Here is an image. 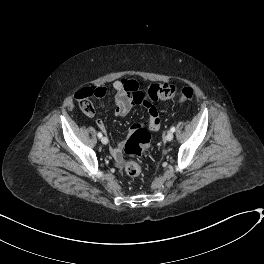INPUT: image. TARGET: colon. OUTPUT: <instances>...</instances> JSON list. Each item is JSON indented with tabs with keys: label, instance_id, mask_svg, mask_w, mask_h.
I'll list each match as a JSON object with an SVG mask.
<instances>
[{
	"label": "colon",
	"instance_id": "obj_1",
	"mask_svg": "<svg viewBox=\"0 0 264 264\" xmlns=\"http://www.w3.org/2000/svg\"><path fill=\"white\" fill-rule=\"evenodd\" d=\"M95 89L86 88L77 94V101L83 113L91 115L94 107L90 98L94 96ZM193 89L183 87L181 89L170 84H153L144 90L137 91L133 99L136 103L151 105L158 100H179L189 102L193 98ZM150 143L149 132L139 125H136L134 132L125 145V152L131 157H138L141 151ZM125 173L130 178H137L142 173V167L137 159H133L125 167Z\"/></svg>",
	"mask_w": 264,
	"mask_h": 264
}]
</instances>
